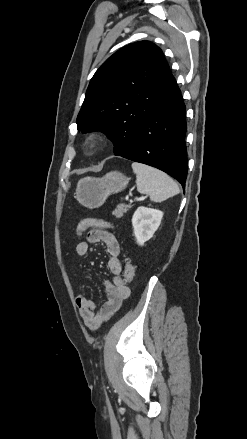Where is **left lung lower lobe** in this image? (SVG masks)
Returning <instances> with one entry per match:
<instances>
[{"label":"left lung lower lobe","instance_id":"0a47b994","mask_svg":"<svg viewBox=\"0 0 247 439\" xmlns=\"http://www.w3.org/2000/svg\"><path fill=\"white\" fill-rule=\"evenodd\" d=\"M185 105L176 88L165 96L152 114L144 118L126 159L156 167L178 180L183 188L187 173Z\"/></svg>","mask_w":247,"mask_h":439}]
</instances>
